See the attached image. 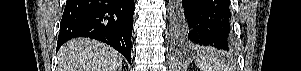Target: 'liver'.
Segmentation results:
<instances>
[{"mask_svg":"<svg viewBox=\"0 0 301 71\" xmlns=\"http://www.w3.org/2000/svg\"><path fill=\"white\" fill-rule=\"evenodd\" d=\"M123 56L102 42L72 39L58 52V71H121Z\"/></svg>","mask_w":301,"mask_h":71,"instance_id":"6515ba94","label":"liver"}]
</instances>
